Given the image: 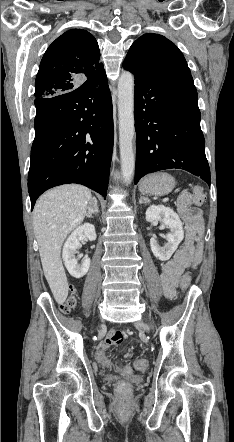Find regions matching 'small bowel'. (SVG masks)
<instances>
[{"mask_svg":"<svg viewBox=\"0 0 234 442\" xmlns=\"http://www.w3.org/2000/svg\"><path fill=\"white\" fill-rule=\"evenodd\" d=\"M177 209L186 226L187 241L175 252L171 259L163 264L161 282L164 294L168 298L174 296L180 276L187 269H194L195 255H193L191 243L203 226L201 211L191 207V196L188 193L179 197ZM123 339L121 332L112 330L107 334L101 347L107 350L110 346L121 343Z\"/></svg>","mask_w":234,"mask_h":442,"instance_id":"1","label":"small bowel"}]
</instances>
